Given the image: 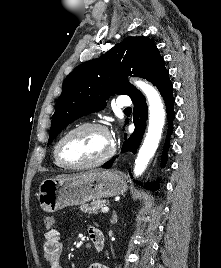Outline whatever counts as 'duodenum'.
Wrapping results in <instances>:
<instances>
[{
    "label": "duodenum",
    "mask_w": 221,
    "mask_h": 268,
    "mask_svg": "<svg viewBox=\"0 0 221 268\" xmlns=\"http://www.w3.org/2000/svg\"><path fill=\"white\" fill-rule=\"evenodd\" d=\"M90 240L97 251H101L104 247V235L99 229H94L90 234Z\"/></svg>",
    "instance_id": "1"
}]
</instances>
